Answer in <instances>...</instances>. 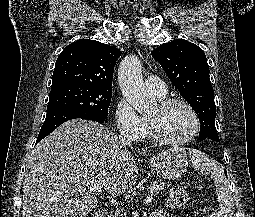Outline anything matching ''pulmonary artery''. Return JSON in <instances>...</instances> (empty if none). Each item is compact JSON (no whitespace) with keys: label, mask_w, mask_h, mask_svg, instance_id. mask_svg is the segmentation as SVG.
<instances>
[{"label":"pulmonary artery","mask_w":255,"mask_h":217,"mask_svg":"<svg viewBox=\"0 0 255 217\" xmlns=\"http://www.w3.org/2000/svg\"><path fill=\"white\" fill-rule=\"evenodd\" d=\"M145 88L157 97H164L167 92L164 80L155 75H150L145 79Z\"/></svg>","instance_id":"obj_1"}]
</instances>
